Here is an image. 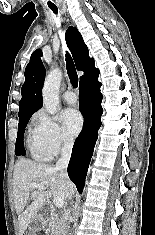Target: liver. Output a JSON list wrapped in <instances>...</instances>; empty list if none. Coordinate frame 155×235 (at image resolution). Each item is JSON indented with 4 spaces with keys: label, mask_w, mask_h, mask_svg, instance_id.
<instances>
[{
    "label": "liver",
    "mask_w": 155,
    "mask_h": 235,
    "mask_svg": "<svg viewBox=\"0 0 155 235\" xmlns=\"http://www.w3.org/2000/svg\"><path fill=\"white\" fill-rule=\"evenodd\" d=\"M31 183L43 184L47 189L30 188ZM75 192L68 176L55 167L20 158L13 173V198L18 214L19 235H23L34 216L51 196L64 201Z\"/></svg>",
    "instance_id": "liver-1"
}]
</instances>
